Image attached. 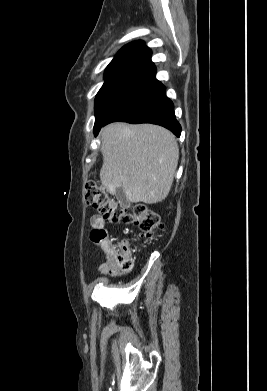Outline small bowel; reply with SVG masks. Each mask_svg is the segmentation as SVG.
Masks as SVG:
<instances>
[{
    "label": "small bowel",
    "mask_w": 267,
    "mask_h": 391,
    "mask_svg": "<svg viewBox=\"0 0 267 391\" xmlns=\"http://www.w3.org/2000/svg\"><path fill=\"white\" fill-rule=\"evenodd\" d=\"M91 224L94 229H102L105 226V221L100 216H93ZM100 248L107 255V259L100 265L99 270L102 274L115 276L118 272V266L112 259L114 248L111 247L110 241L106 240L100 244Z\"/></svg>",
    "instance_id": "small-bowel-1"
}]
</instances>
